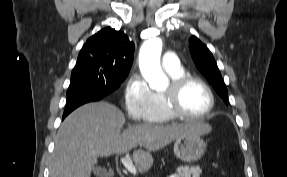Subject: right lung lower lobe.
<instances>
[{
	"label": "right lung lower lobe",
	"mask_w": 287,
	"mask_h": 177,
	"mask_svg": "<svg viewBox=\"0 0 287 177\" xmlns=\"http://www.w3.org/2000/svg\"><path fill=\"white\" fill-rule=\"evenodd\" d=\"M108 95L110 94H107L104 89L95 88H81L67 92L66 108L62 119L77 107L88 102L99 101Z\"/></svg>",
	"instance_id": "obj_1"
}]
</instances>
